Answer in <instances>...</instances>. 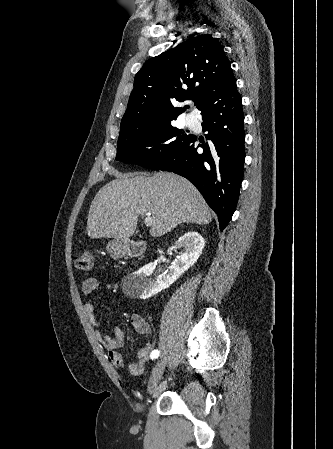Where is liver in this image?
Returning <instances> with one entry per match:
<instances>
[{"label": "liver", "instance_id": "6515ba94", "mask_svg": "<svg viewBox=\"0 0 333 449\" xmlns=\"http://www.w3.org/2000/svg\"><path fill=\"white\" fill-rule=\"evenodd\" d=\"M150 213V234L160 237L181 223L206 225L209 208L195 186L173 173L118 175L103 186L91 203L87 234L90 238L124 241L135 232L138 217Z\"/></svg>", "mask_w": 333, "mask_h": 449}]
</instances>
